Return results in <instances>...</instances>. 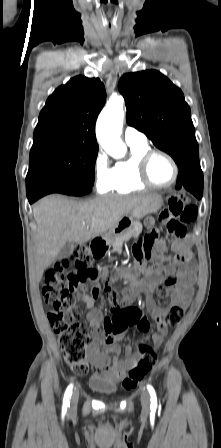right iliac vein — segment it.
<instances>
[{
    "label": "right iliac vein",
    "instance_id": "1",
    "mask_svg": "<svg viewBox=\"0 0 221 448\" xmlns=\"http://www.w3.org/2000/svg\"><path fill=\"white\" fill-rule=\"evenodd\" d=\"M78 398H79V392L78 391H74L72 397H71V405H70V412L75 411L76 407H77V403H78Z\"/></svg>",
    "mask_w": 221,
    "mask_h": 448
}]
</instances>
